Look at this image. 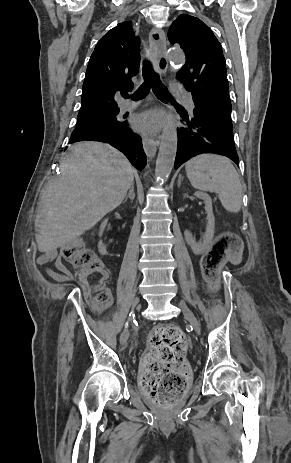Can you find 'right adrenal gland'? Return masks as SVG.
<instances>
[{"label": "right adrenal gland", "mask_w": 291, "mask_h": 463, "mask_svg": "<svg viewBox=\"0 0 291 463\" xmlns=\"http://www.w3.org/2000/svg\"><path fill=\"white\" fill-rule=\"evenodd\" d=\"M128 198H130L131 201H133L134 198H135L134 185H132L131 188L129 189V192L126 195L125 200L123 201V203H125L128 200Z\"/></svg>", "instance_id": "2a0ac1e0"}]
</instances>
